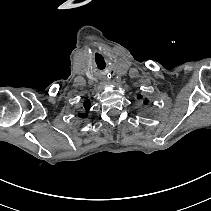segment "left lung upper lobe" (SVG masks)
Segmentation results:
<instances>
[{
    "instance_id": "1",
    "label": "left lung upper lobe",
    "mask_w": 211,
    "mask_h": 211,
    "mask_svg": "<svg viewBox=\"0 0 211 211\" xmlns=\"http://www.w3.org/2000/svg\"><path fill=\"white\" fill-rule=\"evenodd\" d=\"M138 98H139V99H142V96H141V95H139V96H138ZM145 104H146V102H145Z\"/></svg>"
}]
</instances>
